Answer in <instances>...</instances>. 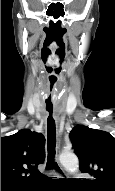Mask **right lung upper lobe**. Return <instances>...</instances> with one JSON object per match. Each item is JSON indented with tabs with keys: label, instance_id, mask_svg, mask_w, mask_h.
I'll use <instances>...</instances> for the list:
<instances>
[{
	"label": "right lung upper lobe",
	"instance_id": "cb5924a9",
	"mask_svg": "<svg viewBox=\"0 0 115 191\" xmlns=\"http://www.w3.org/2000/svg\"><path fill=\"white\" fill-rule=\"evenodd\" d=\"M44 144V136L29 129L2 137L1 187L20 189L43 177L37 166L45 159Z\"/></svg>",
	"mask_w": 115,
	"mask_h": 191
}]
</instances>
